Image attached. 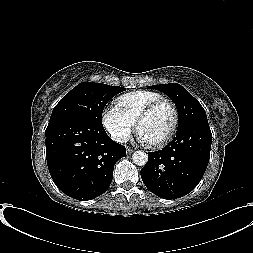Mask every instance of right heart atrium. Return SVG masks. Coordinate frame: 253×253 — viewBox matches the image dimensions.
<instances>
[{
	"instance_id": "right-heart-atrium-1",
	"label": "right heart atrium",
	"mask_w": 253,
	"mask_h": 253,
	"mask_svg": "<svg viewBox=\"0 0 253 253\" xmlns=\"http://www.w3.org/2000/svg\"><path fill=\"white\" fill-rule=\"evenodd\" d=\"M102 122L111 137L119 143L126 142L129 139L135 125V122L113 105L103 111Z\"/></svg>"
}]
</instances>
